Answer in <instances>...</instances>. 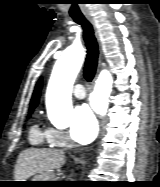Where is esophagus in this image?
Returning a JSON list of instances; mask_svg holds the SVG:
<instances>
[{"label": "esophagus", "mask_w": 160, "mask_h": 187, "mask_svg": "<svg viewBox=\"0 0 160 187\" xmlns=\"http://www.w3.org/2000/svg\"><path fill=\"white\" fill-rule=\"evenodd\" d=\"M86 18L93 25V27H94V29L96 31V26H95L94 19L91 16H89V15H87ZM96 35H97V32H96Z\"/></svg>", "instance_id": "esophagus-1"}]
</instances>
